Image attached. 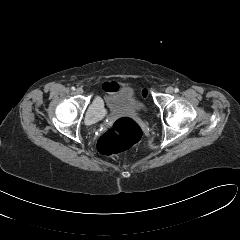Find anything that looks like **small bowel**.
<instances>
[{"label":"small bowel","mask_w":240,"mask_h":240,"mask_svg":"<svg viewBox=\"0 0 240 240\" xmlns=\"http://www.w3.org/2000/svg\"><path fill=\"white\" fill-rule=\"evenodd\" d=\"M102 88L105 92H112L118 88V84L116 82H105ZM105 113L106 111L104 109L103 100L100 96H97L89 108L87 122L95 123L99 121Z\"/></svg>","instance_id":"c3829d8e"}]
</instances>
